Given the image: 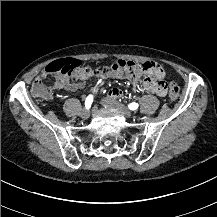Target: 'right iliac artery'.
Returning a JSON list of instances; mask_svg holds the SVG:
<instances>
[{"label":"right iliac artery","instance_id":"obj_1","mask_svg":"<svg viewBox=\"0 0 217 217\" xmlns=\"http://www.w3.org/2000/svg\"><path fill=\"white\" fill-rule=\"evenodd\" d=\"M92 102H93V96L89 95L85 100L86 109H89L91 107Z\"/></svg>","mask_w":217,"mask_h":217}]
</instances>
